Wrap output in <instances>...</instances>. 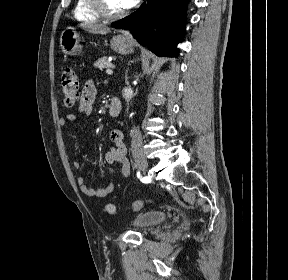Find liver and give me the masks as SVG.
<instances>
[{
	"label": "liver",
	"mask_w": 288,
	"mask_h": 280,
	"mask_svg": "<svg viewBox=\"0 0 288 280\" xmlns=\"http://www.w3.org/2000/svg\"><path fill=\"white\" fill-rule=\"evenodd\" d=\"M79 26L93 34L104 35L110 32V28L102 24L81 23Z\"/></svg>",
	"instance_id": "liver-1"
}]
</instances>
